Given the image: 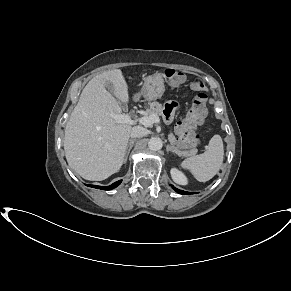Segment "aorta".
<instances>
[{
  "label": "aorta",
  "mask_w": 291,
  "mask_h": 291,
  "mask_svg": "<svg viewBox=\"0 0 291 291\" xmlns=\"http://www.w3.org/2000/svg\"><path fill=\"white\" fill-rule=\"evenodd\" d=\"M162 146H163V142L158 137L151 138L148 142L149 149L153 151L160 150Z\"/></svg>",
  "instance_id": "aorta-1"
}]
</instances>
